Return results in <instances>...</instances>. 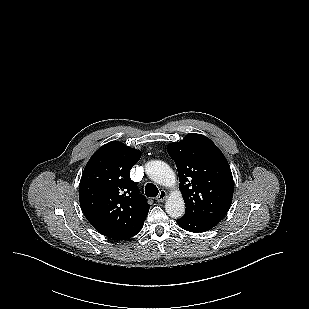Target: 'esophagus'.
<instances>
[{"label": "esophagus", "instance_id": "esophagus-1", "mask_svg": "<svg viewBox=\"0 0 309 309\" xmlns=\"http://www.w3.org/2000/svg\"><path fill=\"white\" fill-rule=\"evenodd\" d=\"M167 198V192L165 190H161L156 197L157 202H163Z\"/></svg>", "mask_w": 309, "mask_h": 309}]
</instances>
